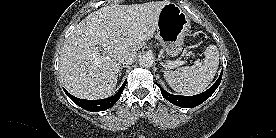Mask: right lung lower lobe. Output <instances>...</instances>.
I'll return each mask as SVG.
<instances>
[{
    "label": "right lung lower lobe",
    "instance_id": "obj_1",
    "mask_svg": "<svg viewBox=\"0 0 276 138\" xmlns=\"http://www.w3.org/2000/svg\"><path fill=\"white\" fill-rule=\"evenodd\" d=\"M126 85V81L123 83V85L120 87L118 92L106 99L101 100H85V99H79L74 96H72L70 93H68L65 89V93L69 96V98L78 106L81 108L91 111V112H97V111H104L106 109L111 108L120 98L122 91L124 90Z\"/></svg>",
    "mask_w": 276,
    "mask_h": 138
}]
</instances>
